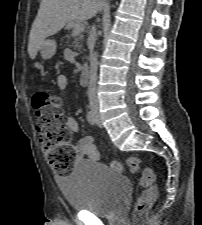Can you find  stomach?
<instances>
[{
  "label": "stomach",
  "mask_w": 202,
  "mask_h": 225,
  "mask_svg": "<svg viewBox=\"0 0 202 225\" xmlns=\"http://www.w3.org/2000/svg\"><path fill=\"white\" fill-rule=\"evenodd\" d=\"M56 42L52 39H46L43 41L42 46L40 47V54L42 59L48 60L51 59L56 53Z\"/></svg>",
  "instance_id": "0dacf381"
}]
</instances>
